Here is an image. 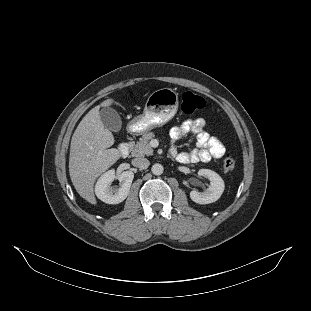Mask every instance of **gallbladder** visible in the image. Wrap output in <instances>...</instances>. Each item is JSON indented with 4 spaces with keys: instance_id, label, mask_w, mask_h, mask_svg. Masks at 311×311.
Segmentation results:
<instances>
[{
    "instance_id": "bac80fb5",
    "label": "gallbladder",
    "mask_w": 311,
    "mask_h": 311,
    "mask_svg": "<svg viewBox=\"0 0 311 311\" xmlns=\"http://www.w3.org/2000/svg\"><path fill=\"white\" fill-rule=\"evenodd\" d=\"M99 117L105 128L118 131L121 128V120L118 113L112 108H103L99 112Z\"/></svg>"
}]
</instances>
